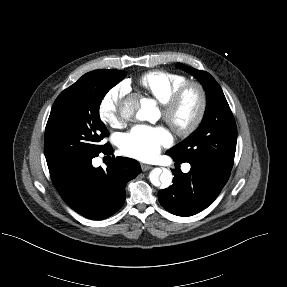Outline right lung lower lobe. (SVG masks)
I'll list each match as a JSON object with an SVG mask.
<instances>
[{
	"label": "right lung lower lobe",
	"instance_id": "98d812e1",
	"mask_svg": "<svg viewBox=\"0 0 287 287\" xmlns=\"http://www.w3.org/2000/svg\"><path fill=\"white\" fill-rule=\"evenodd\" d=\"M101 152L112 154L113 149L107 144ZM98 154L49 170L63 200L74 211L92 220L105 219L117 212L125 201V185L141 172L136 160L123 157H112L106 170L94 168L92 159Z\"/></svg>",
	"mask_w": 287,
	"mask_h": 287
}]
</instances>
